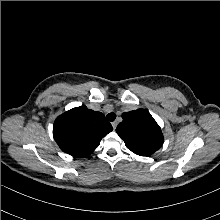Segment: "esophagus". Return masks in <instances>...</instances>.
<instances>
[{"mask_svg":"<svg viewBox=\"0 0 220 220\" xmlns=\"http://www.w3.org/2000/svg\"><path fill=\"white\" fill-rule=\"evenodd\" d=\"M117 125H118V122H117V121L112 122V127H113V129H116Z\"/></svg>","mask_w":220,"mask_h":220,"instance_id":"obj_1","label":"esophagus"}]
</instances>
